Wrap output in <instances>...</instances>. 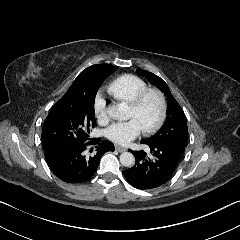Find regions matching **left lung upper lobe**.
<instances>
[{
  "label": "left lung upper lobe",
  "instance_id": "left-lung-upper-lobe-1",
  "mask_svg": "<svg viewBox=\"0 0 240 240\" xmlns=\"http://www.w3.org/2000/svg\"><path fill=\"white\" fill-rule=\"evenodd\" d=\"M153 85L159 88L167 98V119L161 129L152 137L141 141L142 144L172 147L183 152L188 138V126L185 114L172 96L169 87L159 76L145 71L137 70Z\"/></svg>",
  "mask_w": 240,
  "mask_h": 240
}]
</instances>
